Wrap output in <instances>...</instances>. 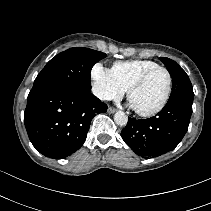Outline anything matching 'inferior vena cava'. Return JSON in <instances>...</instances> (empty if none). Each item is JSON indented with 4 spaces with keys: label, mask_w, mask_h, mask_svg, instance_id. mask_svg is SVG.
Segmentation results:
<instances>
[{
    "label": "inferior vena cava",
    "mask_w": 211,
    "mask_h": 211,
    "mask_svg": "<svg viewBox=\"0 0 211 211\" xmlns=\"http://www.w3.org/2000/svg\"><path fill=\"white\" fill-rule=\"evenodd\" d=\"M92 92H93V94L95 96H97L101 100H109L108 93L105 90H103L102 88L98 87V86L93 87Z\"/></svg>",
    "instance_id": "1"
}]
</instances>
